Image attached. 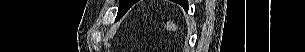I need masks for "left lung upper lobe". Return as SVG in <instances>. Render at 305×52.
I'll return each mask as SVG.
<instances>
[{
	"mask_svg": "<svg viewBox=\"0 0 305 52\" xmlns=\"http://www.w3.org/2000/svg\"><path fill=\"white\" fill-rule=\"evenodd\" d=\"M135 2H136L135 0H120V7L116 18L120 19ZM179 4L182 5L183 7L186 5V3L184 2H179Z\"/></svg>",
	"mask_w": 305,
	"mask_h": 52,
	"instance_id": "5c2ea615",
	"label": "left lung upper lobe"
}]
</instances>
